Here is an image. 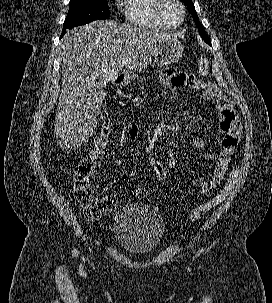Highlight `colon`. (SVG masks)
<instances>
[{
    "label": "colon",
    "instance_id": "1",
    "mask_svg": "<svg viewBox=\"0 0 272 303\" xmlns=\"http://www.w3.org/2000/svg\"><path fill=\"white\" fill-rule=\"evenodd\" d=\"M209 61L202 58L198 63V72L205 75L208 71ZM110 133V126L106 118L101 124L99 136L95 139L92 147L86 155L78 162L74 169V197L83 209L84 215L88 219H98L110 214L117 205V201L111 196H96L92 187V176L96 169V162L101 157L107 137ZM141 162L145 169L151 171L158 181L167 178V169L163 161L156 155L145 154L141 156ZM238 176V168L233 167L229 173L226 187L212 200L194 209L188 214L191 221L201 218L204 214L223 202L229 191L233 188ZM139 198L145 199L150 191L146 187H139L136 190Z\"/></svg>",
    "mask_w": 272,
    "mask_h": 303
}]
</instances>
